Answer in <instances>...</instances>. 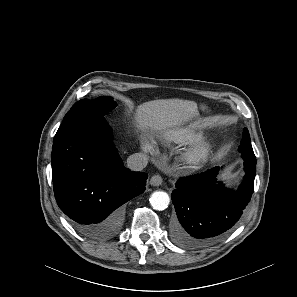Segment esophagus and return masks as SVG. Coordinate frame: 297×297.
<instances>
[{
  "instance_id": "34e87169",
  "label": "esophagus",
  "mask_w": 297,
  "mask_h": 297,
  "mask_svg": "<svg viewBox=\"0 0 297 297\" xmlns=\"http://www.w3.org/2000/svg\"><path fill=\"white\" fill-rule=\"evenodd\" d=\"M162 181H163L162 177L160 175L156 174L150 178L149 183L152 186H160L162 184Z\"/></svg>"
}]
</instances>
